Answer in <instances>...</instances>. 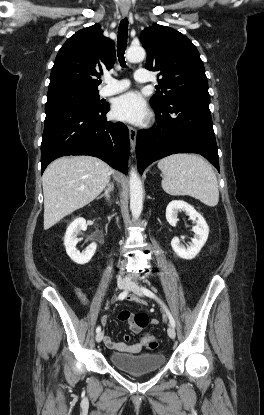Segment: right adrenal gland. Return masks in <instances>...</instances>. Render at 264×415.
<instances>
[{"label":"right adrenal gland","mask_w":264,"mask_h":415,"mask_svg":"<svg viewBox=\"0 0 264 415\" xmlns=\"http://www.w3.org/2000/svg\"><path fill=\"white\" fill-rule=\"evenodd\" d=\"M113 190H114V184H113V183H109V184L107 185V187L105 188V192H104V194H101V195L98 197V199L105 197V198H106V200H107L108 202H110V192H112Z\"/></svg>","instance_id":"right-adrenal-gland-1"}]
</instances>
